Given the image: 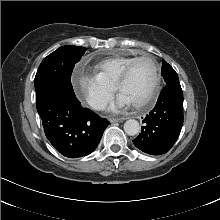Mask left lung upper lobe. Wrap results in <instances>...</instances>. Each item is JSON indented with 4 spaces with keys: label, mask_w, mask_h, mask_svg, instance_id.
Listing matches in <instances>:
<instances>
[{
    "label": "left lung upper lobe",
    "mask_w": 220,
    "mask_h": 220,
    "mask_svg": "<svg viewBox=\"0 0 220 220\" xmlns=\"http://www.w3.org/2000/svg\"><path fill=\"white\" fill-rule=\"evenodd\" d=\"M162 76L167 85L179 82L177 73L165 61H163Z\"/></svg>",
    "instance_id": "1"
}]
</instances>
